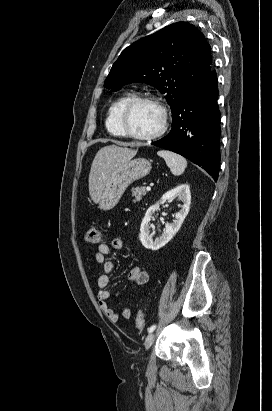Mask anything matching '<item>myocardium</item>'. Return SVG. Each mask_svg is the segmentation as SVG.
Wrapping results in <instances>:
<instances>
[{
    "mask_svg": "<svg viewBox=\"0 0 272 411\" xmlns=\"http://www.w3.org/2000/svg\"><path fill=\"white\" fill-rule=\"evenodd\" d=\"M150 103L154 106H156L161 114V124L159 128L152 134L149 135H138L133 132H131L128 127H127V115L130 109L137 103ZM119 125L122 130V133L125 137H128L133 140L137 141H153L161 136H163L167 129H168V112L165 107V105L162 103L161 100H159L156 97L153 96H147V95H141V96H133L131 97L122 107L120 113H119Z\"/></svg>",
    "mask_w": 272,
    "mask_h": 411,
    "instance_id": "myocardium-1",
    "label": "myocardium"
}]
</instances>
